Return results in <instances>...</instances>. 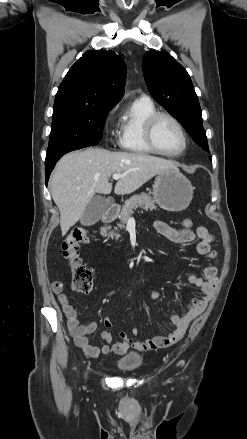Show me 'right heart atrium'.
Here are the masks:
<instances>
[{"mask_svg": "<svg viewBox=\"0 0 247 439\" xmlns=\"http://www.w3.org/2000/svg\"><path fill=\"white\" fill-rule=\"evenodd\" d=\"M116 108H112L105 119V126L106 130L109 136L110 141H115L118 137V134L114 128V114H115Z\"/></svg>", "mask_w": 247, "mask_h": 439, "instance_id": "obj_1", "label": "right heart atrium"}]
</instances>
